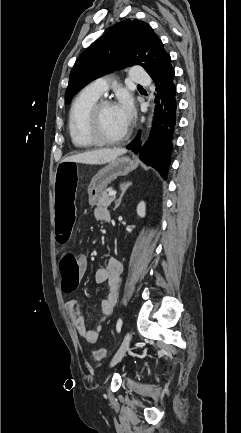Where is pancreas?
<instances>
[{
	"mask_svg": "<svg viewBox=\"0 0 241 433\" xmlns=\"http://www.w3.org/2000/svg\"><path fill=\"white\" fill-rule=\"evenodd\" d=\"M114 199L115 196H109L108 190H104L96 199L95 205L98 207H109Z\"/></svg>",
	"mask_w": 241,
	"mask_h": 433,
	"instance_id": "pancreas-1",
	"label": "pancreas"
}]
</instances>
